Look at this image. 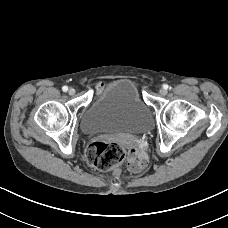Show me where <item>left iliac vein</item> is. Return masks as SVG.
<instances>
[{
    "label": "left iliac vein",
    "instance_id": "left-iliac-vein-1",
    "mask_svg": "<svg viewBox=\"0 0 228 228\" xmlns=\"http://www.w3.org/2000/svg\"><path fill=\"white\" fill-rule=\"evenodd\" d=\"M159 93H160V95L164 96L167 94V90L162 88V89H160Z\"/></svg>",
    "mask_w": 228,
    "mask_h": 228
}]
</instances>
